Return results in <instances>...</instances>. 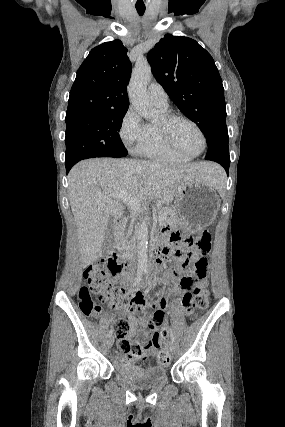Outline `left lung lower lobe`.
I'll return each instance as SVG.
<instances>
[{
    "instance_id": "left-lung-lower-lobe-1",
    "label": "left lung lower lobe",
    "mask_w": 285,
    "mask_h": 427,
    "mask_svg": "<svg viewBox=\"0 0 285 427\" xmlns=\"http://www.w3.org/2000/svg\"><path fill=\"white\" fill-rule=\"evenodd\" d=\"M205 159L221 164L228 174L230 165L228 135L215 137L211 140Z\"/></svg>"
}]
</instances>
